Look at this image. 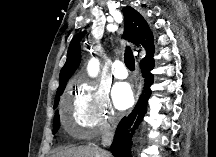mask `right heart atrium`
I'll list each match as a JSON object with an SVG mask.
<instances>
[{
    "instance_id": "1",
    "label": "right heart atrium",
    "mask_w": 216,
    "mask_h": 157,
    "mask_svg": "<svg viewBox=\"0 0 216 157\" xmlns=\"http://www.w3.org/2000/svg\"><path fill=\"white\" fill-rule=\"evenodd\" d=\"M116 121L117 113L107 92L89 83H79L72 115L75 134L91 137L110 130Z\"/></svg>"
}]
</instances>
